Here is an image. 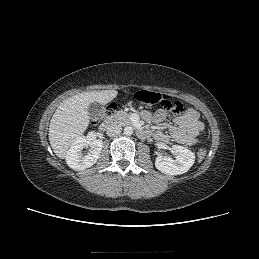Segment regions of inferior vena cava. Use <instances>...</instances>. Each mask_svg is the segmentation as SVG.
Listing matches in <instances>:
<instances>
[{"label":"inferior vena cava","instance_id":"obj_1","mask_svg":"<svg viewBox=\"0 0 259 259\" xmlns=\"http://www.w3.org/2000/svg\"><path fill=\"white\" fill-rule=\"evenodd\" d=\"M121 131H122L121 125H119L117 123H112L107 128V135L110 137H113V136L120 134Z\"/></svg>","mask_w":259,"mask_h":259}]
</instances>
